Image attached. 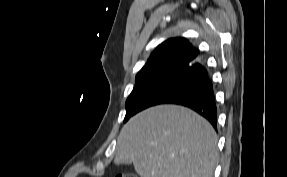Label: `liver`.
<instances>
[{"label": "liver", "instance_id": "liver-1", "mask_svg": "<svg viewBox=\"0 0 287 177\" xmlns=\"http://www.w3.org/2000/svg\"><path fill=\"white\" fill-rule=\"evenodd\" d=\"M217 161L213 127L194 111L159 105L121 129L116 164H133L140 177H212Z\"/></svg>", "mask_w": 287, "mask_h": 177}]
</instances>
